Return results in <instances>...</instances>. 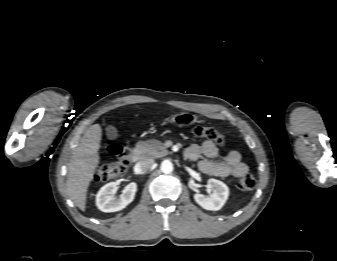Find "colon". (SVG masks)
I'll list each match as a JSON object with an SVG mask.
<instances>
[{"instance_id": "colon-1", "label": "colon", "mask_w": 337, "mask_h": 261, "mask_svg": "<svg viewBox=\"0 0 337 261\" xmlns=\"http://www.w3.org/2000/svg\"><path fill=\"white\" fill-rule=\"evenodd\" d=\"M193 132L200 139L209 140L219 145L224 143V135L214 128L197 126ZM109 152L115 157V161L98 166L94 174L97 181H107L117 178L123 175L130 165V150L126 146L116 143L111 144ZM255 184V179L251 174H244L238 179L236 186L239 190L249 191L255 187Z\"/></svg>"}]
</instances>
